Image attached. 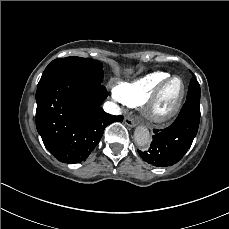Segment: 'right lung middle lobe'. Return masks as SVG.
I'll return each instance as SVG.
<instances>
[{
  "mask_svg": "<svg viewBox=\"0 0 229 229\" xmlns=\"http://www.w3.org/2000/svg\"><path fill=\"white\" fill-rule=\"evenodd\" d=\"M62 75L85 76L102 82V63L97 60L81 57L55 59L44 70L38 87Z\"/></svg>",
  "mask_w": 229,
  "mask_h": 229,
  "instance_id": "1",
  "label": "right lung middle lobe"
}]
</instances>
